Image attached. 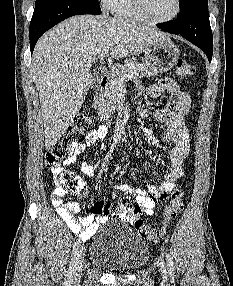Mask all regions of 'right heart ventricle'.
<instances>
[{"mask_svg": "<svg viewBox=\"0 0 233 286\" xmlns=\"http://www.w3.org/2000/svg\"><path fill=\"white\" fill-rule=\"evenodd\" d=\"M108 9L118 18L145 21L135 9L132 0H111Z\"/></svg>", "mask_w": 233, "mask_h": 286, "instance_id": "1", "label": "right heart ventricle"}]
</instances>
